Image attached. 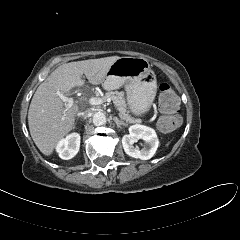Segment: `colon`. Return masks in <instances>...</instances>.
Wrapping results in <instances>:
<instances>
[{"label":"colon","mask_w":240,"mask_h":240,"mask_svg":"<svg viewBox=\"0 0 240 240\" xmlns=\"http://www.w3.org/2000/svg\"><path fill=\"white\" fill-rule=\"evenodd\" d=\"M159 110V126L163 131H171L180 124L179 100L167 83L159 86Z\"/></svg>","instance_id":"colon-1"}]
</instances>
